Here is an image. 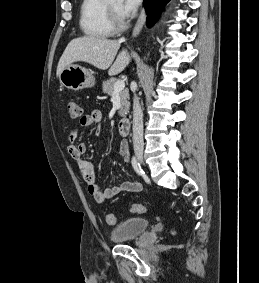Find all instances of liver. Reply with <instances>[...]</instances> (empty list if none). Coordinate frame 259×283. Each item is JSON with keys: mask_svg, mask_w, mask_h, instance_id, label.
<instances>
[{"mask_svg": "<svg viewBox=\"0 0 259 283\" xmlns=\"http://www.w3.org/2000/svg\"><path fill=\"white\" fill-rule=\"evenodd\" d=\"M120 43L117 40L95 36H83L73 39L67 45L59 60L57 76L59 77L63 69L79 61L89 63L101 70L109 69V75L120 73L131 61V57L125 49L119 53L114 61Z\"/></svg>", "mask_w": 259, "mask_h": 283, "instance_id": "6515ba94", "label": "liver"}]
</instances>
